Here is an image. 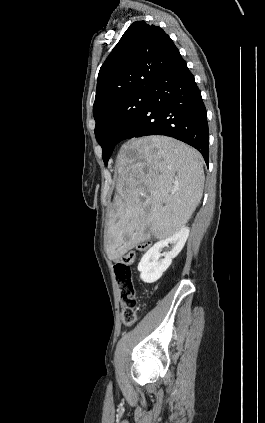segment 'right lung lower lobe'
I'll list each match as a JSON object with an SVG mask.
<instances>
[{
	"mask_svg": "<svg viewBox=\"0 0 265 423\" xmlns=\"http://www.w3.org/2000/svg\"><path fill=\"white\" fill-rule=\"evenodd\" d=\"M166 135L196 148L208 164L206 108L194 76L178 53L150 89V98L122 133L124 139Z\"/></svg>",
	"mask_w": 265,
	"mask_h": 423,
	"instance_id": "98d812e1",
	"label": "right lung lower lobe"
}]
</instances>
